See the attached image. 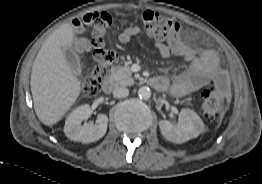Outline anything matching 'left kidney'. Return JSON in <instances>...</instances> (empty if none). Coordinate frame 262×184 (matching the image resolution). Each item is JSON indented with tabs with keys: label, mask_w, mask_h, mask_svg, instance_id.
<instances>
[{
	"label": "left kidney",
	"mask_w": 262,
	"mask_h": 184,
	"mask_svg": "<svg viewBox=\"0 0 262 184\" xmlns=\"http://www.w3.org/2000/svg\"><path fill=\"white\" fill-rule=\"evenodd\" d=\"M161 134L170 142L184 143L191 138H196L204 132L205 125L201 118L191 109L184 108L180 111L179 122L174 126L167 120L159 122Z\"/></svg>",
	"instance_id": "1"
}]
</instances>
